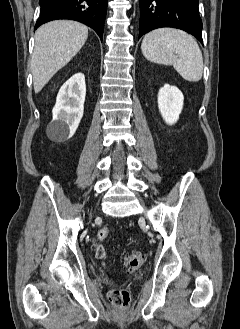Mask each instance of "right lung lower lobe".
I'll list each match as a JSON object with an SVG mask.
<instances>
[{
  "label": "right lung lower lobe",
  "instance_id": "obj_1",
  "mask_svg": "<svg viewBox=\"0 0 240 329\" xmlns=\"http://www.w3.org/2000/svg\"><path fill=\"white\" fill-rule=\"evenodd\" d=\"M108 0H40L41 14L35 29L51 20L70 19L82 22L102 39Z\"/></svg>",
  "mask_w": 240,
  "mask_h": 329
}]
</instances>
